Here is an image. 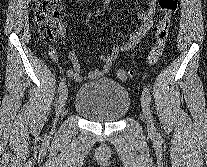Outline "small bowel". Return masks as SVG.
<instances>
[{
  "instance_id": "c3829d8e",
  "label": "small bowel",
  "mask_w": 207,
  "mask_h": 167,
  "mask_svg": "<svg viewBox=\"0 0 207 167\" xmlns=\"http://www.w3.org/2000/svg\"><path fill=\"white\" fill-rule=\"evenodd\" d=\"M75 1L79 2L80 0ZM157 2L158 0H148V7L146 11L137 13L140 24L131 34H119V37L125 40L124 44L121 47H114L110 50L108 54L99 55V60L103 63L100 69L90 71L87 74H81V66L77 56L73 52L69 51L67 55L71 60L73 66L71 69L66 70V74L68 75V77L78 82H84L100 78L105 74L109 73L114 61L119 57V55L122 52H126L134 48L149 31L153 22V17L156 13ZM76 31H79V28H76ZM64 34L65 27L61 25L60 36H63ZM50 56L54 62L60 65L58 55L55 50H50Z\"/></svg>"
}]
</instances>
